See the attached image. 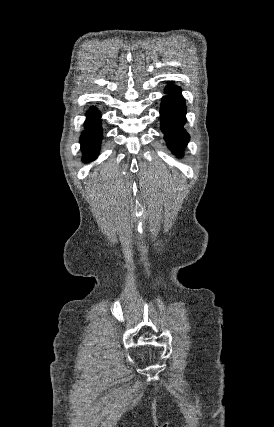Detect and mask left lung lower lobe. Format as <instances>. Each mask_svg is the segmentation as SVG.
Instances as JSON below:
<instances>
[{
    "instance_id": "1",
    "label": "left lung lower lobe",
    "mask_w": 274,
    "mask_h": 427,
    "mask_svg": "<svg viewBox=\"0 0 274 427\" xmlns=\"http://www.w3.org/2000/svg\"><path fill=\"white\" fill-rule=\"evenodd\" d=\"M165 93L169 95L162 99L161 129L169 148L180 155L181 149L186 146L189 139V135L183 129L186 122L184 99L180 88L174 85H168Z\"/></svg>"
}]
</instances>
